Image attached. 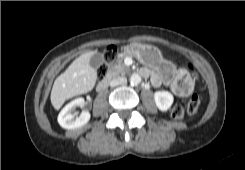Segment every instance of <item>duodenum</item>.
Masks as SVG:
<instances>
[{
	"label": "duodenum",
	"instance_id": "duodenum-1",
	"mask_svg": "<svg viewBox=\"0 0 245 170\" xmlns=\"http://www.w3.org/2000/svg\"><path fill=\"white\" fill-rule=\"evenodd\" d=\"M108 85H109V78L106 77V78L102 79V80L97 84V87H96L97 92H102V91H104V90L107 88Z\"/></svg>",
	"mask_w": 245,
	"mask_h": 170
}]
</instances>
